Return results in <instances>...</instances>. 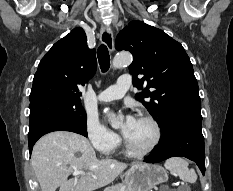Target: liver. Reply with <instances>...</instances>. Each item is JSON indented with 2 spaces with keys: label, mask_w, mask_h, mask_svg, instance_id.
I'll return each instance as SVG.
<instances>
[{
  "label": "liver",
  "mask_w": 233,
  "mask_h": 191,
  "mask_svg": "<svg viewBox=\"0 0 233 191\" xmlns=\"http://www.w3.org/2000/svg\"><path fill=\"white\" fill-rule=\"evenodd\" d=\"M31 164L41 191H94L112 183L127 167L114 160H98L88 139L55 131L40 138L32 151ZM74 171H88L68 180Z\"/></svg>",
  "instance_id": "liver-1"
}]
</instances>
